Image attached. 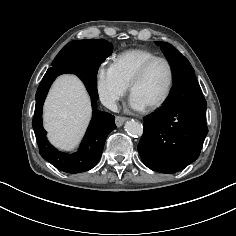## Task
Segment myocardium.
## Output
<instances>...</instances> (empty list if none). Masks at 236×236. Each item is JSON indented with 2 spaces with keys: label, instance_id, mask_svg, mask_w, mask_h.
Wrapping results in <instances>:
<instances>
[{
  "label": "myocardium",
  "instance_id": "myocardium-1",
  "mask_svg": "<svg viewBox=\"0 0 236 236\" xmlns=\"http://www.w3.org/2000/svg\"><path fill=\"white\" fill-rule=\"evenodd\" d=\"M157 62H164L169 70V82H168V86L166 88L165 93L163 94V96L157 100L156 102L145 106V108L149 111H153L156 110L160 107H162L167 100L169 99L173 87H174V82H175V71H174V67L172 65V63L170 62V60H168L165 57H159L156 56L150 60H148L147 62H145L141 68L138 70V72L135 74V76L133 77L130 85H129V90L131 95H133V91L136 88V86L144 79L145 75L147 74V72L149 71V69Z\"/></svg>",
  "mask_w": 236,
  "mask_h": 236
}]
</instances>
